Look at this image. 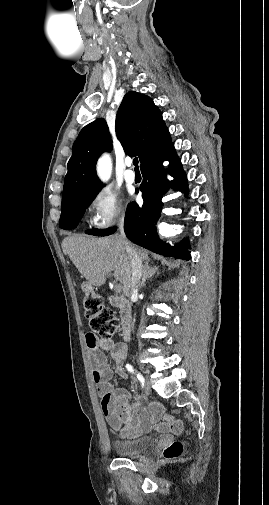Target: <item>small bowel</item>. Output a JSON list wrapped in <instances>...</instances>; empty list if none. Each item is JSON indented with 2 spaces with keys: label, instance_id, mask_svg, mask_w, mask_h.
Masks as SVG:
<instances>
[{
  "label": "small bowel",
  "instance_id": "obj_1",
  "mask_svg": "<svg viewBox=\"0 0 269 505\" xmlns=\"http://www.w3.org/2000/svg\"><path fill=\"white\" fill-rule=\"evenodd\" d=\"M86 344L93 364V379L101 397L102 413L110 427L123 439H135L143 433L156 430L160 433H180L182 423L164 414L162 405L153 402L148 408L132 403L131 393L112 383L113 369L109 366L105 352L115 362L116 372L126 377L124 362L127 349L111 338H98L86 334Z\"/></svg>",
  "mask_w": 269,
  "mask_h": 505
}]
</instances>
